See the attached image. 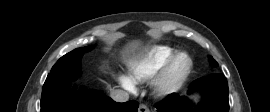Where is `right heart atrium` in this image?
<instances>
[{
    "mask_svg": "<svg viewBox=\"0 0 270 112\" xmlns=\"http://www.w3.org/2000/svg\"><path fill=\"white\" fill-rule=\"evenodd\" d=\"M118 81L123 87H125L131 91H133L135 89V84L128 75L120 74L118 76Z\"/></svg>",
    "mask_w": 270,
    "mask_h": 112,
    "instance_id": "d8ad5b80",
    "label": "right heart atrium"
}]
</instances>
